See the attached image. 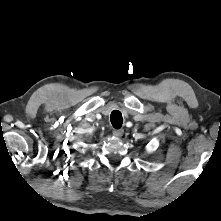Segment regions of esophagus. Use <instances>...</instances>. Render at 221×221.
Segmentation results:
<instances>
[{"mask_svg": "<svg viewBox=\"0 0 221 221\" xmlns=\"http://www.w3.org/2000/svg\"><path fill=\"white\" fill-rule=\"evenodd\" d=\"M124 133V130L123 129H114L113 130V135L116 136V137H121Z\"/></svg>", "mask_w": 221, "mask_h": 221, "instance_id": "obj_1", "label": "esophagus"}]
</instances>
